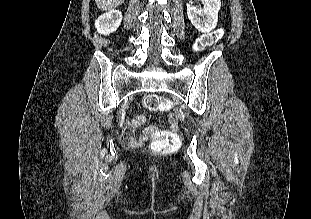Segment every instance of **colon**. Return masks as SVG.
<instances>
[{
  "label": "colon",
  "instance_id": "colon-1",
  "mask_svg": "<svg viewBox=\"0 0 311 219\" xmlns=\"http://www.w3.org/2000/svg\"><path fill=\"white\" fill-rule=\"evenodd\" d=\"M221 36L222 32L218 30L210 36L202 37L197 41V48L201 50L206 44L216 40ZM143 105L147 110L150 111L168 110L170 108V103L168 100L155 94H149L146 96L143 101ZM150 134L152 138V148L158 153L169 154L179 145L177 136L172 132L151 129ZM125 138L126 137L122 138L123 142H126Z\"/></svg>",
  "mask_w": 311,
  "mask_h": 219
}]
</instances>
